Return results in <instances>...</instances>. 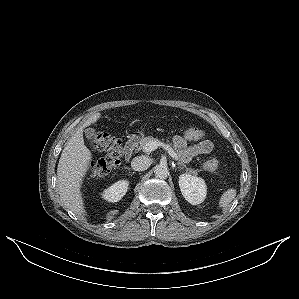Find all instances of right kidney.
<instances>
[{
    "instance_id": "right-kidney-1",
    "label": "right kidney",
    "mask_w": 299,
    "mask_h": 299,
    "mask_svg": "<svg viewBox=\"0 0 299 299\" xmlns=\"http://www.w3.org/2000/svg\"><path fill=\"white\" fill-rule=\"evenodd\" d=\"M128 186L127 180H120L105 189L102 198L109 202H117L126 194Z\"/></svg>"
}]
</instances>
